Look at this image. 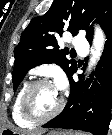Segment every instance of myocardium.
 <instances>
[{"mask_svg": "<svg viewBox=\"0 0 112 135\" xmlns=\"http://www.w3.org/2000/svg\"><path fill=\"white\" fill-rule=\"evenodd\" d=\"M50 84L52 83L48 79H38L30 83L26 88V90L24 91L21 99V112L27 120L33 123L45 122L53 119L63 110L65 100L64 97L60 95V102L52 112L45 115H41L34 111L31 104V96L34 90L41 85H50Z\"/></svg>", "mask_w": 112, "mask_h": 135, "instance_id": "f54148a6", "label": "myocardium"}]
</instances>
